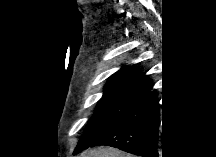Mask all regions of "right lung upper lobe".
I'll return each mask as SVG.
<instances>
[{"mask_svg": "<svg viewBox=\"0 0 216 157\" xmlns=\"http://www.w3.org/2000/svg\"><path fill=\"white\" fill-rule=\"evenodd\" d=\"M152 85V81L134 67L123 66L113 74L106 85L104 95L119 91L137 92Z\"/></svg>", "mask_w": 216, "mask_h": 157, "instance_id": "cb5924a9", "label": "right lung upper lobe"}]
</instances>
